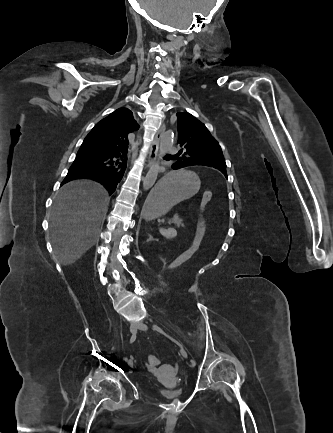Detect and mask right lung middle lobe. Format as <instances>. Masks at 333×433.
<instances>
[{
	"label": "right lung middle lobe",
	"instance_id": "right-lung-middle-lobe-1",
	"mask_svg": "<svg viewBox=\"0 0 333 433\" xmlns=\"http://www.w3.org/2000/svg\"><path fill=\"white\" fill-rule=\"evenodd\" d=\"M83 152L99 153V152L96 151L95 149H86V148L80 147L78 153H83Z\"/></svg>",
	"mask_w": 333,
	"mask_h": 433
}]
</instances>
